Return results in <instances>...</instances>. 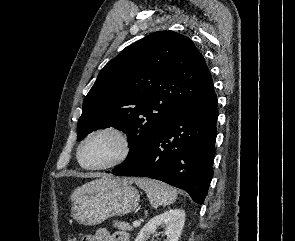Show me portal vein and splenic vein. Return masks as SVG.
Instances as JSON below:
<instances>
[{"mask_svg": "<svg viewBox=\"0 0 295 241\" xmlns=\"http://www.w3.org/2000/svg\"><path fill=\"white\" fill-rule=\"evenodd\" d=\"M140 221H138V220H135L134 222H133V226L134 227H139L140 226Z\"/></svg>", "mask_w": 295, "mask_h": 241, "instance_id": "obj_1", "label": "portal vein and splenic vein"}]
</instances>
